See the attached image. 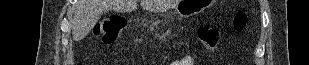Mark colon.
I'll use <instances>...</instances> for the list:
<instances>
[{"instance_id":"colon-1","label":"colon","mask_w":309,"mask_h":65,"mask_svg":"<svg viewBox=\"0 0 309 65\" xmlns=\"http://www.w3.org/2000/svg\"><path fill=\"white\" fill-rule=\"evenodd\" d=\"M248 23V16L245 12H238L233 18V27L236 31H242ZM127 26V19L121 15H110L104 17L98 24L97 36L101 41L110 45L116 42L119 33ZM197 36L200 44L207 50H214L217 48L221 37V30L213 25H201L197 30ZM186 64H193L194 58L186 56L183 60Z\"/></svg>"}]
</instances>
